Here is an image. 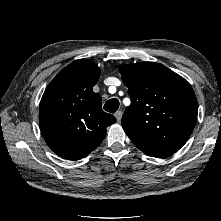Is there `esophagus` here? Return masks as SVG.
<instances>
[{
  "label": "esophagus",
  "mask_w": 221,
  "mask_h": 221,
  "mask_svg": "<svg viewBox=\"0 0 221 221\" xmlns=\"http://www.w3.org/2000/svg\"><path fill=\"white\" fill-rule=\"evenodd\" d=\"M122 111H117L114 116L116 117L117 119V122H120L121 121V118H122Z\"/></svg>",
  "instance_id": "obj_1"
}]
</instances>
